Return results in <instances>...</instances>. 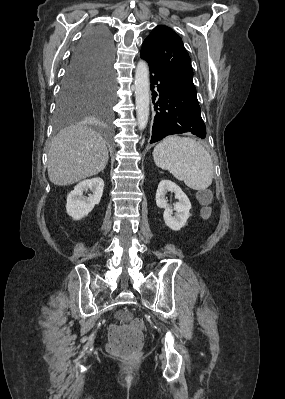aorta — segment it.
I'll return each mask as SVG.
<instances>
[{"mask_svg": "<svg viewBox=\"0 0 285 399\" xmlns=\"http://www.w3.org/2000/svg\"><path fill=\"white\" fill-rule=\"evenodd\" d=\"M149 69L145 61L140 60L135 71V102L139 130L145 129L149 118Z\"/></svg>", "mask_w": 285, "mask_h": 399, "instance_id": "obj_1", "label": "aorta"}]
</instances>
